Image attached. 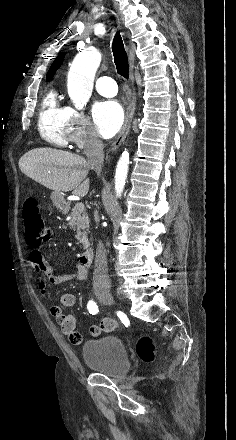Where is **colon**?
Listing matches in <instances>:
<instances>
[{
    "label": "colon",
    "mask_w": 236,
    "mask_h": 440,
    "mask_svg": "<svg viewBox=\"0 0 236 440\" xmlns=\"http://www.w3.org/2000/svg\"><path fill=\"white\" fill-rule=\"evenodd\" d=\"M26 243L33 248L38 247L48 240L51 230L44 221L34 199L26 202L23 210ZM156 350L154 341L148 336H142L136 345L137 355L143 361L149 362L153 359Z\"/></svg>",
    "instance_id": "obj_1"
}]
</instances>
